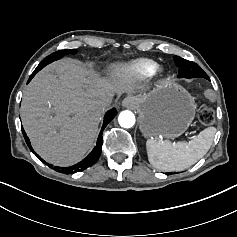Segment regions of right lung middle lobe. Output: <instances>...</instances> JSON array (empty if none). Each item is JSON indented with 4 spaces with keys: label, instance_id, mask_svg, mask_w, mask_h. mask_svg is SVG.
<instances>
[{
    "label": "right lung middle lobe",
    "instance_id": "right-lung-middle-lobe-1",
    "mask_svg": "<svg viewBox=\"0 0 237 237\" xmlns=\"http://www.w3.org/2000/svg\"><path fill=\"white\" fill-rule=\"evenodd\" d=\"M76 52L77 51L75 49H71V50H66L65 49V50H60V51L54 52L51 55L44 58L41 61V63L37 66V68L34 70L33 73H37L38 71H40L43 67H45L49 63L62 58L64 56V54H69V53L75 54Z\"/></svg>",
    "mask_w": 237,
    "mask_h": 237
}]
</instances>
